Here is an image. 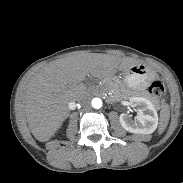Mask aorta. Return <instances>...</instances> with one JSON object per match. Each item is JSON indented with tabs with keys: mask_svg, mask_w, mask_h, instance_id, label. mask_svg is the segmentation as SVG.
I'll return each mask as SVG.
<instances>
[{
	"mask_svg": "<svg viewBox=\"0 0 183 183\" xmlns=\"http://www.w3.org/2000/svg\"><path fill=\"white\" fill-rule=\"evenodd\" d=\"M91 104L93 108L99 109L102 107V100L100 98H93Z\"/></svg>",
	"mask_w": 183,
	"mask_h": 183,
	"instance_id": "aorta-1",
	"label": "aorta"
}]
</instances>
